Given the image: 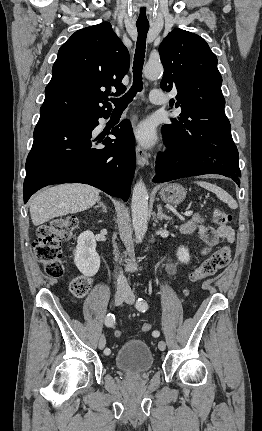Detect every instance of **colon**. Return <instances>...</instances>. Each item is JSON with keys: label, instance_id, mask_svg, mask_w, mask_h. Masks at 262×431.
Masks as SVG:
<instances>
[{"label": "colon", "instance_id": "colon-1", "mask_svg": "<svg viewBox=\"0 0 262 431\" xmlns=\"http://www.w3.org/2000/svg\"><path fill=\"white\" fill-rule=\"evenodd\" d=\"M230 214L222 209L213 212V223L224 227L230 224ZM77 228V221L73 217H60L40 226L34 240V252L37 260L43 265L48 276L60 278L65 272L63 252L61 244L70 239ZM231 260V250L228 246L216 249L208 258L203 260L190 275V282L199 283L203 279L214 275L218 270L228 265ZM89 281L85 277H76L71 282V291L77 299L85 296L89 289ZM188 294V291H185ZM150 323H144L141 331L146 333L151 330ZM119 336L120 333L117 332Z\"/></svg>", "mask_w": 262, "mask_h": 431}]
</instances>
